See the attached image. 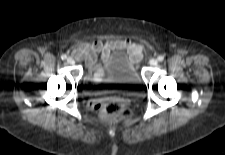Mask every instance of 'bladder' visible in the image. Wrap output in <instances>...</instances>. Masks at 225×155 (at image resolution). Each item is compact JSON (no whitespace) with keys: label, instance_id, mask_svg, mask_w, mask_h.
<instances>
[{"label":"bladder","instance_id":"obj_1","mask_svg":"<svg viewBox=\"0 0 225 155\" xmlns=\"http://www.w3.org/2000/svg\"><path fill=\"white\" fill-rule=\"evenodd\" d=\"M104 69L128 93L135 95L142 91L139 72L126 53L122 51L111 53L104 63Z\"/></svg>","mask_w":225,"mask_h":155}]
</instances>
